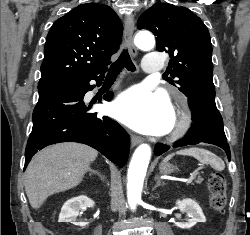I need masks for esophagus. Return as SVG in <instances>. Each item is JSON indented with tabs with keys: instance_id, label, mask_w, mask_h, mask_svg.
I'll return each mask as SVG.
<instances>
[{
	"instance_id": "esophagus-1",
	"label": "esophagus",
	"mask_w": 250,
	"mask_h": 235,
	"mask_svg": "<svg viewBox=\"0 0 250 235\" xmlns=\"http://www.w3.org/2000/svg\"><path fill=\"white\" fill-rule=\"evenodd\" d=\"M133 31H134V21H133V18L130 17L125 21L124 37H125V41L127 43L130 53L133 56H137L138 52L133 42ZM130 139H131L132 146H137L138 144L142 142V138L134 134L130 135Z\"/></svg>"
}]
</instances>
